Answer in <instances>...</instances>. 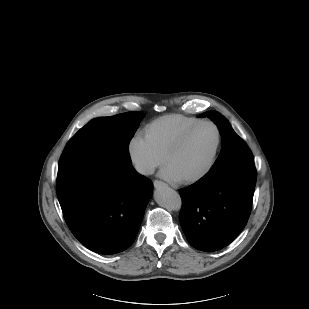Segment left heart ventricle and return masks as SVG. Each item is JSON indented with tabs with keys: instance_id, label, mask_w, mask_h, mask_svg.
Listing matches in <instances>:
<instances>
[{
	"instance_id": "b2bd125f",
	"label": "left heart ventricle",
	"mask_w": 309,
	"mask_h": 309,
	"mask_svg": "<svg viewBox=\"0 0 309 309\" xmlns=\"http://www.w3.org/2000/svg\"><path fill=\"white\" fill-rule=\"evenodd\" d=\"M216 139L217 134L212 126L198 127L167 165L171 166L181 179L199 173L208 164Z\"/></svg>"
}]
</instances>
